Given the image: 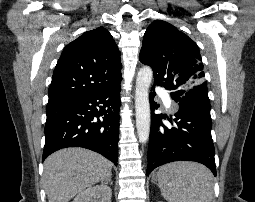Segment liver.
<instances>
[{"label":"liver","instance_id":"liver-1","mask_svg":"<svg viewBox=\"0 0 255 202\" xmlns=\"http://www.w3.org/2000/svg\"><path fill=\"white\" fill-rule=\"evenodd\" d=\"M112 163L83 148H65L44 161L43 180L48 202H69L78 193L104 181Z\"/></svg>","mask_w":255,"mask_h":202}]
</instances>
